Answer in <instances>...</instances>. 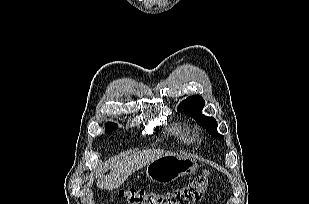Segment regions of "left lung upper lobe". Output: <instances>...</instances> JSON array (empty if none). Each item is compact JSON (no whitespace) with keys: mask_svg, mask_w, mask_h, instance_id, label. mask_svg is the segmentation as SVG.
I'll return each mask as SVG.
<instances>
[{"mask_svg":"<svg viewBox=\"0 0 309 204\" xmlns=\"http://www.w3.org/2000/svg\"><path fill=\"white\" fill-rule=\"evenodd\" d=\"M204 105L205 101L201 96H190L180 103L178 111L184 109V113L195 119L199 125L211 134V136L216 139H223L224 137L217 132L216 120L213 117H207L202 114Z\"/></svg>","mask_w":309,"mask_h":204,"instance_id":"5c2ea615","label":"left lung upper lobe"}]
</instances>
